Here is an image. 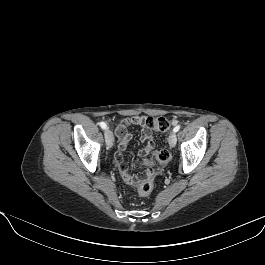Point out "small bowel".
Listing matches in <instances>:
<instances>
[{
	"label": "small bowel",
	"instance_id": "c3829d8e",
	"mask_svg": "<svg viewBox=\"0 0 265 265\" xmlns=\"http://www.w3.org/2000/svg\"><path fill=\"white\" fill-rule=\"evenodd\" d=\"M145 119L144 116H135L131 118L122 119L116 126V134L119 138L118 151L115 154V162L118 167L119 173L127 184H133L135 182V177H133L129 171L128 167L124 161L123 152L130 145L132 135L129 133L128 128L132 125L143 126L140 134V141L143 144V148L139 151L140 155L147 154L153 149L154 141L152 131L142 124Z\"/></svg>",
	"mask_w": 265,
	"mask_h": 265
}]
</instances>
